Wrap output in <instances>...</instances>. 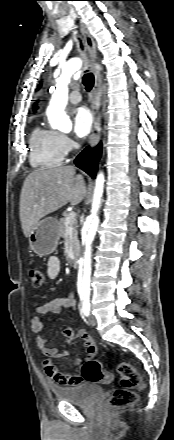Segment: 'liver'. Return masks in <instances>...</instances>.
<instances>
[{"mask_svg":"<svg viewBox=\"0 0 174 440\" xmlns=\"http://www.w3.org/2000/svg\"><path fill=\"white\" fill-rule=\"evenodd\" d=\"M86 195L81 174L72 166L39 168L25 179L20 195L19 216L25 237L46 215L70 202L79 204Z\"/></svg>","mask_w":174,"mask_h":440,"instance_id":"obj_1","label":"liver"}]
</instances>
